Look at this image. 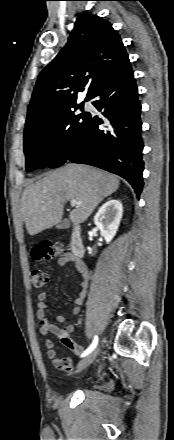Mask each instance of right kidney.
<instances>
[{
  "label": "right kidney",
  "instance_id": "right-kidney-1",
  "mask_svg": "<svg viewBox=\"0 0 174 440\" xmlns=\"http://www.w3.org/2000/svg\"><path fill=\"white\" fill-rule=\"evenodd\" d=\"M122 215V203L116 199H111L104 203L96 213L94 223L107 243L115 236Z\"/></svg>",
  "mask_w": 174,
  "mask_h": 440
}]
</instances>
